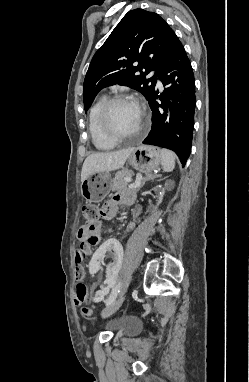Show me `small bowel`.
Returning a JSON list of instances; mask_svg holds the SVG:
<instances>
[{"instance_id": "small-bowel-1", "label": "small bowel", "mask_w": 249, "mask_h": 382, "mask_svg": "<svg viewBox=\"0 0 249 382\" xmlns=\"http://www.w3.org/2000/svg\"><path fill=\"white\" fill-rule=\"evenodd\" d=\"M133 202V197L129 193H119L113 196L109 201H107L100 209V214L106 218L110 219L116 214L119 204H131ZM133 224L130 225V227ZM100 226L98 223H85L77 231V239L79 241V247L89 249V246H100ZM117 268V267H116ZM83 269V268H82ZM90 271V264H89ZM91 273V272H90ZM95 274V273H91ZM87 298H75V305H84V302ZM85 310V309H84ZM85 314H89L90 311L86 309Z\"/></svg>"}]
</instances>
